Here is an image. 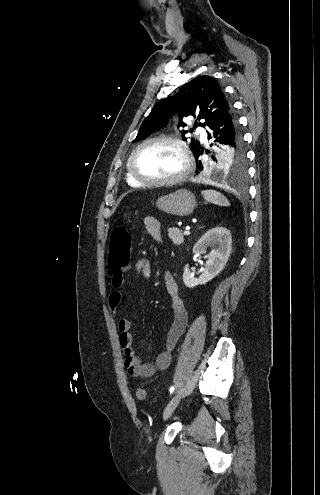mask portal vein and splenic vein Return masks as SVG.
Returning <instances> with one entry per match:
<instances>
[{
    "mask_svg": "<svg viewBox=\"0 0 320 495\" xmlns=\"http://www.w3.org/2000/svg\"><path fill=\"white\" fill-rule=\"evenodd\" d=\"M183 234H184V235H189V234H190V231H189V230H185V231L183 232Z\"/></svg>",
    "mask_w": 320,
    "mask_h": 495,
    "instance_id": "obj_1",
    "label": "portal vein and splenic vein"
}]
</instances>
